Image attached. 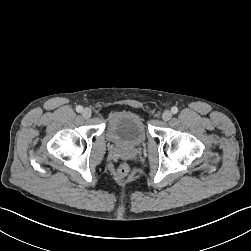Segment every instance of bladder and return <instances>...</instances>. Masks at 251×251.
Returning a JSON list of instances; mask_svg holds the SVG:
<instances>
[{
  "label": "bladder",
  "mask_w": 251,
  "mask_h": 251,
  "mask_svg": "<svg viewBox=\"0 0 251 251\" xmlns=\"http://www.w3.org/2000/svg\"><path fill=\"white\" fill-rule=\"evenodd\" d=\"M107 136L117 146L132 148L146 140L147 129L140 114L132 110H119L109 117Z\"/></svg>",
  "instance_id": "31cf9c89"
}]
</instances>
